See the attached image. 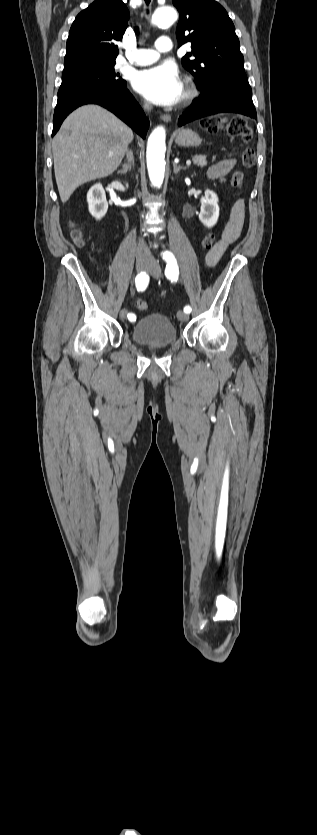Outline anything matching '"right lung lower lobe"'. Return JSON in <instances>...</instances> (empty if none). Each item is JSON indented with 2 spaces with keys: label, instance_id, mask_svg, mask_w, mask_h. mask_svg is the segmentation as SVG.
Segmentation results:
<instances>
[{
  "label": "right lung lower lobe",
  "instance_id": "1",
  "mask_svg": "<svg viewBox=\"0 0 317 835\" xmlns=\"http://www.w3.org/2000/svg\"><path fill=\"white\" fill-rule=\"evenodd\" d=\"M98 104L113 112L141 137L145 138L149 121L126 86L96 85L82 88L58 97L53 117L52 136L64 119L77 107Z\"/></svg>",
  "mask_w": 317,
  "mask_h": 835
}]
</instances>
